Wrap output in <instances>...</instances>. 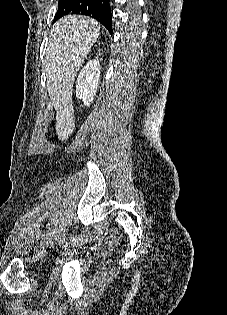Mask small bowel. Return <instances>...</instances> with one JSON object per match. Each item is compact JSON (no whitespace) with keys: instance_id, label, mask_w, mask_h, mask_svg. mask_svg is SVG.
Wrapping results in <instances>:
<instances>
[{"instance_id":"obj_1","label":"small bowel","mask_w":227,"mask_h":315,"mask_svg":"<svg viewBox=\"0 0 227 315\" xmlns=\"http://www.w3.org/2000/svg\"><path fill=\"white\" fill-rule=\"evenodd\" d=\"M115 238H116V234L113 233V234L110 236V241H115Z\"/></svg>"}]
</instances>
